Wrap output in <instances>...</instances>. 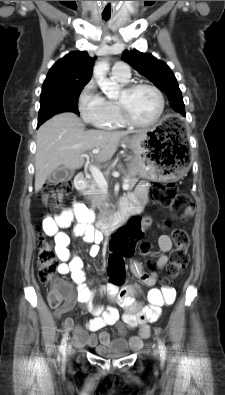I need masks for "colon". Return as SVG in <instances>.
<instances>
[{
    "mask_svg": "<svg viewBox=\"0 0 225 395\" xmlns=\"http://www.w3.org/2000/svg\"><path fill=\"white\" fill-rule=\"evenodd\" d=\"M72 192V183L69 180H61L55 183L45 185L43 190L44 203L52 208H60L66 196ZM153 200L169 208L174 218L185 221L193 213L194 206L188 195L179 192L176 184H154L151 188ZM130 223H123L122 228H116L115 233L111 235L110 244L107 245L109 251V260L107 262V271L111 278L110 283L113 288H123L122 279L125 278L127 266L124 257L134 256L138 250L139 256H150L153 250L148 241H143V215H131ZM174 242V249L171 252L170 262L167 268L169 278H175L184 269L189 261L188 249L190 246V237L186 230L174 228L171 231ZM38 278L43 284L53 286L48 295V302L52 307H59L63 300L74 296L72 287L63 280L55 277L58 270V261L52 243L43 235L39 237V248L37 257ZM66 302L60 307L65 306Z\"/></svg>",
    "mask_w": 225,
    "mask_h": 395,
    "instance_id": "colon-1",
    "label": "colon"
}]
</instances>
